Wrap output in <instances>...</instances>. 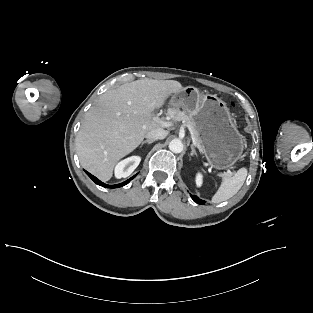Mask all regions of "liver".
<instances>
[{"label": "liver", "mask_w": 313, "mask_h": 313, "mask_svg": "<svg viewBox=\"0 0 313 313\" xmlns=\"http://www.w3.org/2000/svg\"><path fill=\"white\" fill-rule=\"evenodd\" d=\"M181 89L178 81L141 79L101 95L76 137L82 167L102 181L110 180L121 158L135 150L148 132L162 129L153 111Z\"/></svg>", "instance_id": "1"}]
</instances>
